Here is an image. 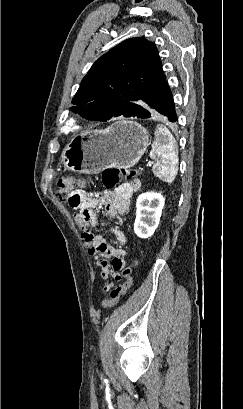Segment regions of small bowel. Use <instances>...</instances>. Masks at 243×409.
<instances>
[{"instance_id":"1","label":"small bowel","mask_w":243,"mask_h":409,"mask_svg":"<svg viewBox=\"0 0 243 409\" xmlns=\"http://www.w3.org/2000/svg\"><path fill=\"white\" fill-rule=\"evenodd\" d=\"M141 187V182L135 179L118 186L114 191L102 195H89L85 191H77L80 203L73 217L80 228L81 237L88 249V254L99 267L100 274L105 279L103 291L108 292L116 282L122 279L121 271L125 266L126 253L122 248L108 245L104 238L96 234L93 228L100 225L95 209L103 206L110 217L123 214L130 206L131 198ZM119 244L124 245L127 237L117 226L110 228Z\"/></svg>"}]
</instances>
